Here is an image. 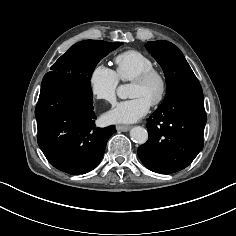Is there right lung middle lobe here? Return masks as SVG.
<instances>
[{
	"label": "right lung middle lobe",
	"mask_w": 236,
	"mask_h": 236,
	"mask_svg": "<svg viewBox=\"0 0 236 236\" xmlns=\"http://www.w3.org/2000/svg\"><path fill=\"white\" fill-rule=\"evenodd\" d=\"M122 43L100 40H84L74 44L51 67L46 75H62L73 78L87 86L97 63Z\"/></svg>",
	"instance_id": "right-lung-middle-lobe-1"
}]
</instances>
